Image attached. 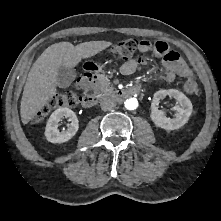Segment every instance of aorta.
Listing matches in <instances>:
<instances>
[{
  "label": "aorta",
  "instance_id": "1",
  "mask_svg": "<svg viewBox=\"0 0 221 221\" xmlns=\"http://www.w3.org/2000/svg\"><path fill=\"white\" fill-rule=\"evenodd\" d=\"M138 107V101L136 98H129L125 101V108L128 110H134Z\"/></svg>",
  "mask_w": 221,
  "mask_h": 221
}]
</instances>
